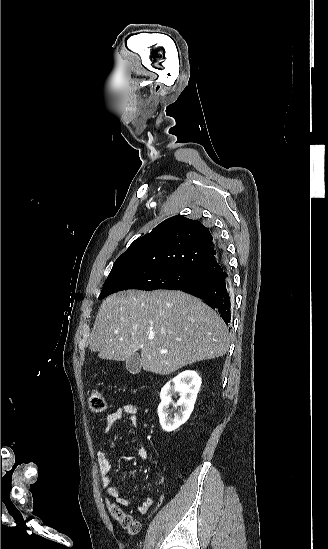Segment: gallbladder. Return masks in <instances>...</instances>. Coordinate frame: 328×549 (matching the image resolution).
Segmentation results:
<instances>
[{"label":"gallbladder","mask_w":328,"mask_h":549,"mask_svg":"<svg viewBox=\"0 0 328 549\" xmlns=\"http://www.w3.org/2000/svg\"><path fill=\"white\" fill-rule=\"evenodd\" d=\"M125 367L131 375H138L142 369L141 361H140V355L138 353H134L132 357H129L125 363Z\"/></svg>","instance_id":"1"}]
</instances>
